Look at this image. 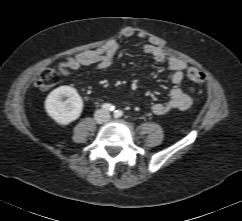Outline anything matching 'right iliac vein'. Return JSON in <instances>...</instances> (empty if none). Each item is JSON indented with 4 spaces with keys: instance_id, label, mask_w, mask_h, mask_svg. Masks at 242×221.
<instances>
[{
    "instance_id": "63e3f726",
    "label": "right iliac vein",
    "mask_w": 242,
    "mask_h": 221,
    "mask_svg": "<svg viewBox=\"0 0 242 221\" xmlns=\"http://www.w3.org/2000/svg\"><path fill=\"white\" fill-rule=\"evenodd\" d=\"M102 117H103V113H102V112H98V113L96 114V120H97V121H100V120L102 119Z\"/></svg>"
}]
</instances>
